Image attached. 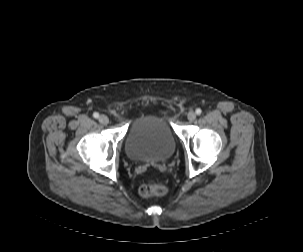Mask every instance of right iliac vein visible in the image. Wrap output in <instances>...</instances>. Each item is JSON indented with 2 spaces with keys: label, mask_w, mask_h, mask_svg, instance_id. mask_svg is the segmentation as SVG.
<instances>
[{
  "label": "right iliac vein",
  "mask_w": 303,
  "mask_h": 252,
  "mask_svg": "<svg viewBox=\"0 0 303 252\" xmlns=\"http://www.w3.org/2000/svg\"><path fill=\"white\" fill-rule=\"evenodd\" d=\"M99 122L103 125H106L109 123V118L106 115L99 116Z\"/></svg>",
  "instance_id": "63e3f726"
}]
</instances>
